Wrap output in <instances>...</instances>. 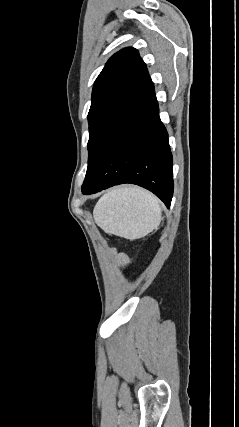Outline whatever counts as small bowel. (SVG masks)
<instances>
[{"mask_svg": "<svg viewBox=\"0 0 239 427\" xmlns=\"http://www.w3.org/2000/svg\"><path fill=\"white\" fill-rule=\"evenodd\" d=\"M117 259L121 265H127L129 262L127 255H125L124 253H118Z\"/></svg>", "mask_w": 239, "mask_h": 427, "instance_id": "c3829d8e", "label": "small bowel"}]
</instances>
